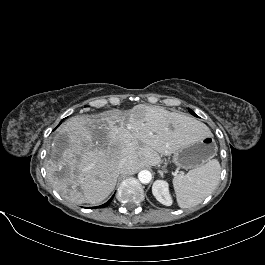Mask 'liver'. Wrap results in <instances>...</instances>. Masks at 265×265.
<instances>
[{
    "label": "liver",
    "mask_w": 265,
    "mask_h": 265,
    "mask_svg": "<svg viewBox=\"0 0 265 265\" xmlns=\"http://www.w3.org/2000/svg\"><path fill=\"white\" fill-rule=\"evenodd\" d=\"M210 134L205 124L189 116L143 104L128 113L110 110L74 116L54 137L47 178L63 198L99 204L115 188L120 161L127 163L124 173L132 174L156 166L161 156L173 154L186 140Z\"/></svg>",
    "instance_id": "1"
}]
</instances>
